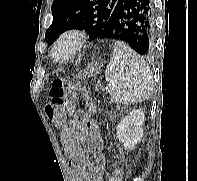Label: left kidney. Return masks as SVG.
<instances>
[{
    "label": "left kidney",
    "instance_id": "1",
    "mask_svg": "<svg viewBox=\"0 0 197 181\" xmlns=\"http://www.w3.org/2000/svg\"><path fill=\"white\" fill-rule=\"evenodd\" d=\"M145 115L143 109H136L127 114L117 126V138L125 148L132 150L141 142Z\"/></svg>",
    "mask_w": 197,
    "mask_h": 181
}]
</instances>
